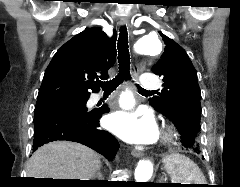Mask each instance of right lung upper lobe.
<instances>
[{
    "label": "right lung upper lobe",
    "mask_w": 240,
    "mask_h": 187,
    "mask_svg": "<svg viewBox=\"0 0 240 187\" xmlns=\"http://www.w3.org/2000/svg\"><path fill=\"white\" fill-rule=\"evenodd\" d=\"M116 61V35L109 38L100 28L85 29L62 45L49 63L36 106L61 99L89 98L96 82L108 78ZM97 80V81H95Z\"/></svg>",
    "instance_id": "obj_1"
}]
</instances>
